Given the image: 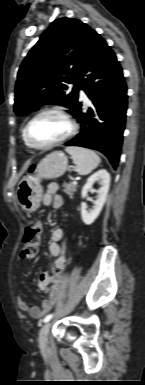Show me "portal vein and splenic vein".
Here are the masks:
<instances>
[{"label": "portal vein and splenic vein", "instance_id": "1", "mask_svg": "<svg viewBox=\"0 0 145 385\" xmlns=\"http://www.w3.org/2000/svg\"><path fill=\"white\" fill-rule=\"evenodd\" d=\"M73 184H74V185H77V182H76V181H74V182H73Z\"/></svg>", "mask_w": 145, "mask_h": 385}]
</instances>
